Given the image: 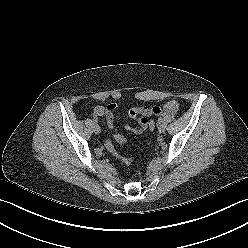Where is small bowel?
Instances as JSON below:
<instances>
[{
    "instance_id": "small-bowel-1",
    "label": "small bowel",
    "mask_w": 248,
    "mask_h": 248,
    "mask_svg": "<svg viewBox=\"0 0 248 248\" xmlns=\"http://www.w3.org/2000/svg\"><path fill=\"white\" fill-rule=\"evenodd\" d=\"M117 109L116 103H110L106 106H97L94 109L96 117L104 116L107 120V125L110 129L113 128L114 115L113 112ZM178 109V104L175 101H169L164 106H142L135 107L129 111L131 118L137 120L138 125L131 127L126 125L127 130L136 134L143 133L148 128V121L150 116H160L167 113H175Z\"/></svg>"
}]
</instances>
